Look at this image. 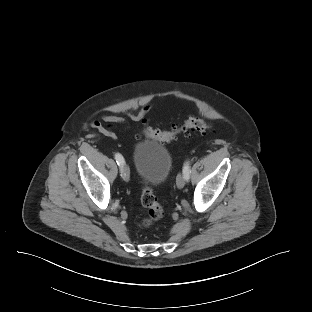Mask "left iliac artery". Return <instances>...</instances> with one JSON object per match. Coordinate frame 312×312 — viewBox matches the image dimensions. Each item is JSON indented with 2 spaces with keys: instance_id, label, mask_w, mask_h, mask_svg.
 <instances>
[{
  "instance_id": "obj_1",
  "label": "left iliac artery",
  "mask_w": 312,
  "mask_h": 312,
  "mask_svg": "<svg viewBox=\"0 0 312 312\" xmlns=\"http://www.w3.org/2000/svg\"><path fill=\"white\" fill-rule=\"evenodd\" d=\"M189 174H190V162L186 161L183 166V175L186 180L189 179Z\"/></svg>"
}]
</instances>
